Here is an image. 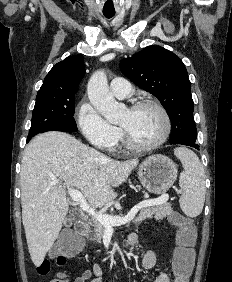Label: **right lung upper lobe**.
I'll use <instances>...</instances> for the list:
<instances>
[{
  "instance_id": "obj_1",
  "label": "right lung upper lobe",
  "mask_w": 232,
  "mask_h": 282,
  "mask_svg": "<svg viewBox=\"0 0 232 282\" xmlns=\"http://www.w3.org/2000/svg\"><path fill=\"white\" fill-rule=\"evenodd\" d=\"M84 74L83 56H69L53 66L38 94H75Z\"/></svg>"
}]
</instances>
